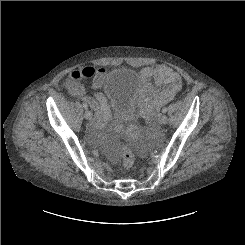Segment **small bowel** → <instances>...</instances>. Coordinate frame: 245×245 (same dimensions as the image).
I'll return each mask as SVG.
<instances>
[{"instance_id":"obj_1","label":"small bowel","mask_w":245,"mask_h":245,"mask_svg":"<svg viewBox=\"0 0 245 245\" xmlns=\"http://www.w3.org/2000/svg\"><path fill=\"white\" fill-rule=\"evenodd\" d=\"M107 78L108 71L105 68L85 67L72 71L66 82V88L71 95L79 96L92 108H99L95 117L96 125L108 123L111 118V110L105 103V98L101 92H97L93 97L87 95L81 81L93 79V88L100 90ZM137 79L140 82V91L147 106H163L170 102L182 87L178 73L161 64L142 68L137 73Z\"/></svg>"}]
</instances>
